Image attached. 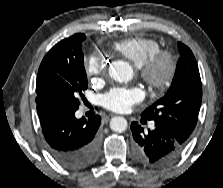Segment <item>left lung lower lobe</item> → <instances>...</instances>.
<instances>
[{"label":"left lung lower lobe","instance_id":"0a47b994","mask_svg":"<svg viewBox=\"0 0 223 188\" xmlns=\"http://www.w3.org/2000/svg\"><path fill=\"white\" fill-rule=\"evenodd\" d=\"M131 130L134 156L148 167L169 165L178 158L186 145L182 138L161 124L155 123V128L145 133L137 122H132Z\"/></svg>","mask_w":223,"mask_h":188}]
</instances>
